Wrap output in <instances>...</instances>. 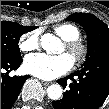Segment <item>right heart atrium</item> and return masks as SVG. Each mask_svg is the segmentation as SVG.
<instances>
[{
  "mask_svg": "<svg viewBox=\"0 0 109 109\" xmlns=\"http://www.w3.org/2000/svg\"><path fill=\"white\" fill-rule=\"evenodd\" d=\"M40 43V37L35 32H29L23 34L19 39V49L22 52L33 51L38 48Z\"/></svg>",
  "mask_w": 109,
  "mask_h": 109,
  "instance_id": "d8ad5b80",
  "label": "right heart atrium"
}]
</instances>
